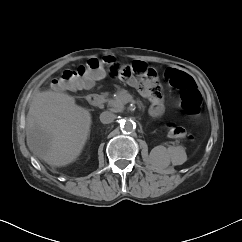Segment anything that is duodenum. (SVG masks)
Listing matches in <instances>:
<instances>
[{"mask_svg": "<svg viewBox=\"0 0 242 242\" xmlns=\"http://www.w3.org/2000/svg\"><path fill=\"white\" fill-rule=\"evenodd\" d=\"M87 102L94 107H99L103 103V97L95 93L90 94L87 96Z\"/></svg>", "mask_w": 242, "mask_h": 242, "instance_id": "1", "label": "duodenum"}]
</instances>
